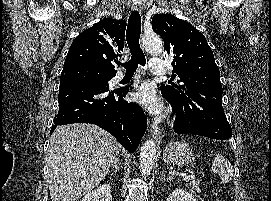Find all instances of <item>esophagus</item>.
Returning <instances> with one entry per match:
<instances>
[{
	"instance_id": "obj_1",
	"label": "esophagus",
	"mask_w": 271,
	"mask_h": 201,
	"mask_svg": "<svg viewBox=\"0 0 271 201\" xmlns=\"http://www.w3.org/2000/svg\"><path fill=\"white\" fill-rule=\"evenodd\" d=\"M132 10H136L138 12H141V6L140 5H132ZM150 131H151V136L157 140L160 141L163 137L162 130L155 124L150 125Z\"/></svg>"
}]
</instances>
